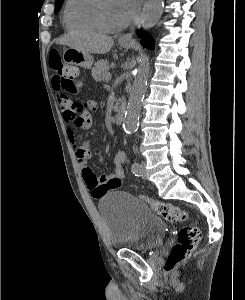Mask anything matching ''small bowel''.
<instances>
[{
    "mask_svg": "<svg viewBox=\"0 0 245 300\" xmlns=\"http://www.w3.org/2000/svg\"><path fill=\"white\" fill-rule=\"evenodd\" d=\"M52 86L56 93V99L62 112L64 121L69 125L67 127V136L75 149L77 162L82 170V177L94 198H101L108 192L117 190L121 187L124 179L123 164L126 162V154L124 151H117L114 156V168L112 171L97 176L88 165L92 157V150L88 141L83 140L79 131L89 129L93 124V114L98 112V105L95 101L89 100L82 102L81 107H76L66 95L59 80L54 76ZM79 90V85L74 92Z\"/></svg>",
    "mask_w": 245,
    "mask_h": 300,
    "instance_id": "c3829d8e",
    "label": "small bowel"
}]
</instances>
